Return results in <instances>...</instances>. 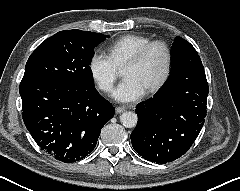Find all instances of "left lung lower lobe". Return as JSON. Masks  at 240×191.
Segmentation results:
<instances>
[{
    "instance_id": "0a47b994",
    "label": "left lung lower lobe",
    "mask_w": 240,
    "mask_h": 191,
    "mask_svg": "<svg viewBox=\"0 0 240 191\" xmlns=\"http://www.w3.org/2000/svg\"><path fill=\"white\" fill-rule=\"evenodd\" d=\"M208 93L204 67L177 68L154 98L136 107L138 124L130 136L134 150L158 164L184 155L204 125Z\"/></svg>"
}]
</instances>
